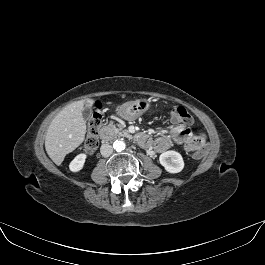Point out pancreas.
Listing matches in <instances>:
<instances>
[{"label":"pancreas","instance_id":"obj_1","mask_svg":"<svg viewBox=\"0 0 265 265\" xmlns=\"http://www.w3.org/2000/svg\"><path fill=\"white\" fill-rule=\"evenodd\" d=\"M119 128H116L113 123L111 122L109 124V127L113 129V134L118 136V137H130L128 131L126 129H123L121 125H118Z\"/></svg>","mask_w":265,"mask_h":265}]
</instances>
